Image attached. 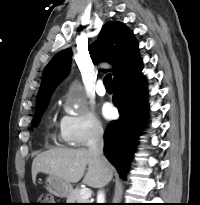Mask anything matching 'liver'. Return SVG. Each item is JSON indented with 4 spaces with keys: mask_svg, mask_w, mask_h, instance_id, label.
<instances>
[{
    "mask_svg": "<svg viewBox=\"0 0 200 205\" xmlns=\"http://www.w3.org/2000/svg\"><path fill=\"white\" fill-rule=\"evenodd\" d=\"M39 172L57 176L69 184L79 182L84 176L82 182L93 188L108 184L113 177L108 160L95 157L85 148H53L38 154L32 162L33 182Z\"/></svg>",
    "mask_w": 200,
    "mask_h": 205,
    "instance_id": "6515ba94",
    "label": "liver"
}]
</instances>
